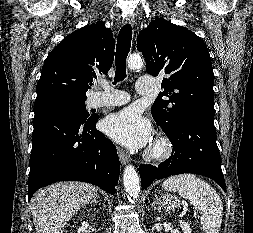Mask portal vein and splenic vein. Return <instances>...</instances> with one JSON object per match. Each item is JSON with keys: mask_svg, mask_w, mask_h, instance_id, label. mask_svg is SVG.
Wrapping results in <instances>:
<instances>
[{"mask_svg": "<svg viewBox=\"0 0 253 233\" xmlns=\"http://www.w3.org/2000/svg\"><path fill=\"white\" fill-rule=\"evenodd\" d=\"M187 211V205L184 206L182 214L184 215Z\"/></svg>", "mask_w": 253, "mask_h": 233, "instance_id": "18ae733b", "label": "portal vein and splenic vein"}]
</instances>
